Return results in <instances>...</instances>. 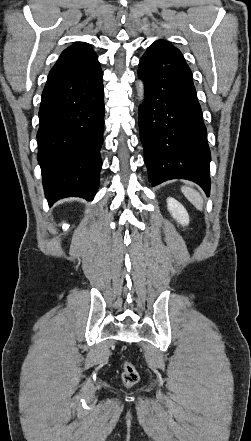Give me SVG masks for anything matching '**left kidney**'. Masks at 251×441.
<instances>
[{
  "instance_id": "obj_1",
  "label": "left kidney",
  "mask_w": 251,
  "mask_h": 441,
  "mask_svg": "<svg viewBox=\"0 0 251 441\" xmlns=\"http://www.w3.org/2000/svg\"><path fill=\"white\" fill-rule=\"evenodd\" d=\"M167 208L171 216L181 225L189 224V215L182 204L172 197L167 198Z\"/></svg>"
}]
</instances>
